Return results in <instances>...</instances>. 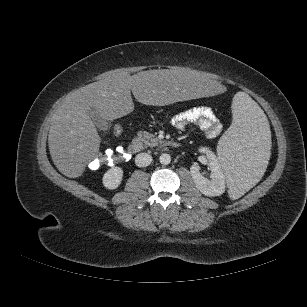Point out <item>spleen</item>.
I'll return each instance as SVG.
<instances>
[{
    "instance_id": "obj_1",
    "label": "spleen",
    "mask_w": 307,
    "mask_h": 307,
    "mask_svg": "<svg viewBox=\"0 0 307 307\" xmlns=\"http://www.w3.org/2000/svg\"><path fill=\"white\" fill-rule=\"evenodd\" d=\"M233 122L218 143L217 152L227 172L228 194L238 199L249 190L267 162L269 124L263 110L244 92L232 101Z\"/></svg>"
}]
</instances>
